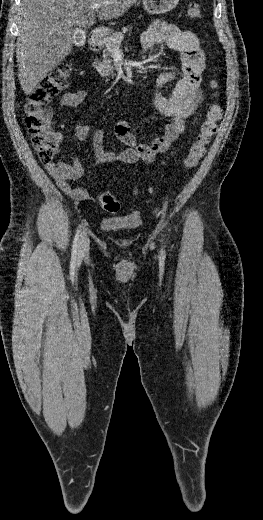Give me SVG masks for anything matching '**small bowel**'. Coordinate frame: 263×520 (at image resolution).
<instances>
[{
	"instance_id": "c3829d8e",
	"label": "small bowel",
	"mask_w": 263,
	"mask_h": 520,
	"mask_svg": "<svg viewBox=\"0 0 263 520\" xmlns=\"http://www.w3.org/2000/svg\"><path fill=\"white\" fill-rule=\"evenodd\" d=\"M141 42L144 51L166 45L181 54L182 74L176 84L170 90H164L165 86L176 77L173 71L160 73L155 83L154 105L160 114L169 118V123L165 126L162 135L150 143H139L132 131L131 123L127 120L118 122L114 126V134L125 146L119 152L107 150L106 133L103 130L96 131L92 146L99 163L152 162L157 155L166 152L183 134L185 120L195 113L203 100L200 83L205 68V55L193 32L158 20L143 32ZM86 96L85 90L67 92L61 97L60 103L64 107L75 108L84 102ZM88 133L89 127L83 122H78L75 137L79 144L87 138ZM56 138L60 141L61 135L56 134ZM45 167L58 187L69 197L76 201L89 199V193L85 188L73 185V182L83 173L82 164L78 159L70 157L67 161L49 162Z\"/></svg>"
}]
</instances>
